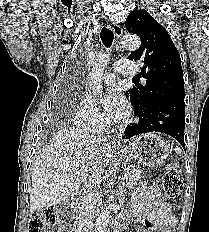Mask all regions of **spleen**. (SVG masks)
<instances>
[{
    "instance_id": "1",
    "label": "spleen",
    "mask_w": 209,
    "mask_h": 232,
    "mask_svg": "<svg viewBox=\"0 0 209 232\" xmlns=\"http://www.w3.org/2000/svg\"><path fill=\"white\" fill-rule=\"evenodd\" d=\"M174 150L176 153H181V149L179 147H176Z\"/></svg>"
}]
</instances>
